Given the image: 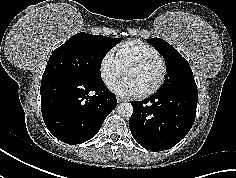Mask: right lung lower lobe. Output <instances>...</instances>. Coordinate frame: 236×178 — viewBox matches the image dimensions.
I'll use <instances>...</instances> for the list:
<instances>
[{
    "label": "right lung lower lobe",
    "mask_w": 236,
    "mask_h": 178,
    "mask_svg": "<svg viewBox=\"0 0 236 178\" xmlns=\"http://www.w3.org/2000/svg\"><path fill=\"white\" fill-rule=\"evenodd\" d=\"M41 111L48 130L60 141L75 145L93 138L117 106L104 82L66 76L41 81Z\"/></svg>",
    "instance_id": "obj_1"
}]
</instances>
